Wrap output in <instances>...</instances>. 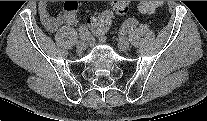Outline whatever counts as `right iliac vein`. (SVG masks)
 <instances>
[{
    "mask_svg": "<svg viewBox=\"0 0 207 121\" xmlns=\"http://www.w3.org/2000/svg\"><path fill=\"white\" fill-rule=\"evenodd\" d=\"M86 48V42L84 40H80L77 42V49L79 51H83Z\"/></svg>",
    "mask_w": 207,
    "mask_h": 121,
    "instance_id": "obj_1",
    "label": "right iliac vein"
}]
</instances>
